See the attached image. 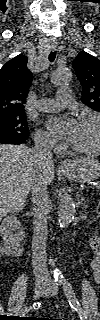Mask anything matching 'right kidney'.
I'll use <instances>...</instances> for the list:
<instances>
[{
    "label": "right kidney",
    "instance_id": "ca27d5eb",
    "mask_svg": "<svg viewBox=\"0 0 100 320\" xmlns=\"http://www.w3.org/2000/svg\"><path fill=\"white\" fill-rule=\"evenodd\" d=\"M17 231V233H15ZM0 236L5 253L13 254L19 248V243L25 236L22 225L15 215L7 216L0 225Z\"/></svg>",
    "mask_w": 100,
    "mask_h": 320
}]
</instances>
